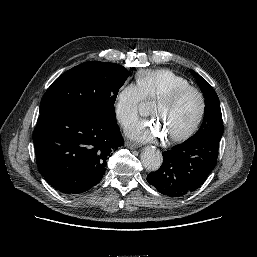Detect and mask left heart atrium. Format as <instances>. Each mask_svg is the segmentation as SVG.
Segmentation results:
<instances>
[{
  "label": "left heart atrium",
  "instance_id": "1",
  "mask_svg": "<svg viewBox=\"0 0 257 257\" xmlns=\"http://www.w3.org/2000/svg\"><path fill=\"white\" fill-rule=\"evenodd\" d=\"M128 134L140 140L150 141L159 137L160 131L158 130L156 125H153L152 123L146 121H142L133 124L128 129Z\"/></svg>",
  "mask_w": 257,
  "mask_h": 257
}]
</instances>
